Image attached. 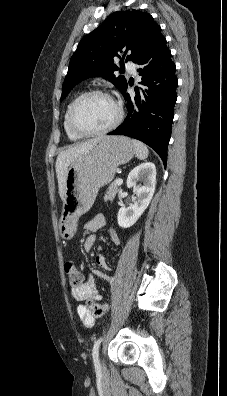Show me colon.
Listing matches in <instances>:
<instances>
[{
	"label": "colon",
	"instance_id": "1",
	"mask_svg": "<svg viewBox=\"0 0 227 396\" xmlns=\"http://www.w3.org/2000/svg\"><path fill=\"white\" fill-rule=\"evenodd\" d=\"M65 272L73 287H77L82 284L83 276L72 262H67L65 264ZM86 306L91 310L95 317H101L109 310V306L107 304H98L93 301H87Z\"/></svg>",
	"mask_w": 227,
	"mask_h": 396
}]
</instances>
